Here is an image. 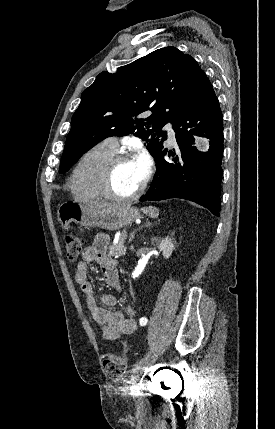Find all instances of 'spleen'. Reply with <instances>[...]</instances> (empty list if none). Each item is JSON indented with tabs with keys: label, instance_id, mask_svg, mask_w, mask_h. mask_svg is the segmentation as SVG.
Returning <instances> with one entry per match:
<instances>
[{
	"label": "spleen",
	"instance_id": "obj_1",
	"mask_svg": "<svg viewBox=\"0 0 275 429\" xmlns=\"http://www.w3.org/2000/svg\"><path fill=\"white\" fill-rule=\"evenodd\" d=\"M141 210L152 218H157L159 216V209L156 207L149 206L142 208Z\"/></svg>",
	"mask_w": 275,
	"mask_h": 429
}]
</instances>
